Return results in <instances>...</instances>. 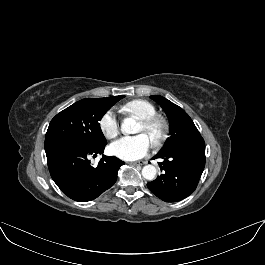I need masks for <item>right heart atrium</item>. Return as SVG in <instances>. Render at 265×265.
Here are the masks:
<instances>
[{
    "mask_svg": "<svg viewBox=\"0 0 265 265\" xmlns=\"http://www.w3.org/2000/svg\"><path fill=\"white\" fill-rule=\"evenodd\" d=\"M102 133L107 139H114L120 132L119 117L113 109L106 111L99 120Z\"/></svg>",
    "mask_w": 265,
    "mask_h": 265,
    "instance_id": "right-heart-atrium-1",
    "label": "right heart atrium"
}]
</instances>
